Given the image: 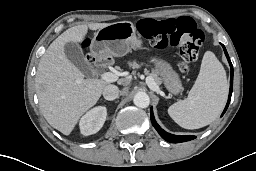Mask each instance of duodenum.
<instances>
[{"label":"duodenum","instance_id":"obj_1","mask_svg":"<svg viewBox=\"0 0 256 171\" xmlns=\"http://www.w3.org/2000/svg\"><path fill=\"white\" fill-rule=\"evenodd\" d=\"M97 66H106L109 63V59L107 58H97L95 60Z\"/></svg>","mask_w":256,"mask_h":171}]
</instances>
